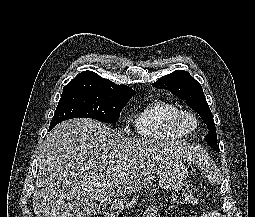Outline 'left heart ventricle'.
Listing matches in <instances>:
<instances>
[{"instance_id":"b2bd125f","label":"left heart ventricle","mask_w":255,"mask_h":217,"mask_svg":"<svg viewBox=\"0 0 255 217\" xmlns=\"http://www.w3.org/2000/svg\"><path fill=\"white\" fill-rule=\"evenodd\" d=\"M187 125H188L189 127H191L192 124H191V122H188Z\"/></svg>"}]
</instances>
